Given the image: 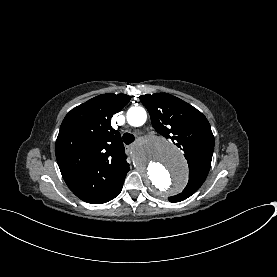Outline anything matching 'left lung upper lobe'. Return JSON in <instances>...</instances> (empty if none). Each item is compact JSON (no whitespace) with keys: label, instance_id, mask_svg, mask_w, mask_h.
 <instances>
[{"label":"left lung upper lobe","instance_id":"1","mask_svg":"<svg viewBox=\"0 0 277 277\" xmlns=\"http://www.w3.org/2000/svg\"><path fill=\"white\" fill-rule=\"evenodd\" d=\"M155 130L183 150L189 181L182 193L169 197L180 202L193 195L205 181L214 150V136L206 117L190 104L168 93L140 96Z\"/></svg>","mask_w":277,"mask_h":277}]
</instances>
